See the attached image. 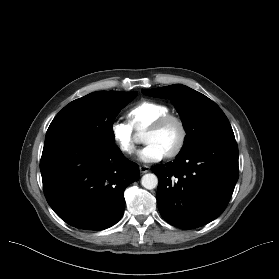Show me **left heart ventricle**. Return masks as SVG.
Instances as JSON below:
<instances>
[{
    "instance_id": "1",
    "label": "left heart ventricle",
    "mask_w": 279,
    "mask_h": 279,
    "mask_svg": "<svg viewBox=\"0 0 279 279\" xmlns=\"http://www.w3.org/2000/svg\"><path fill=\"white\" fill-rule=\"evenodd\" d=\"M179 139V128L174 122L166 124L158 131L147 130L144 136V142L154 143L159 146L165 153L170 151Z\"/></svg>"
}]
</instances>
